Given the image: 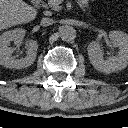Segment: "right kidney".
<instances>
[{"label":"right kidney","instance_id":"ca27d5eb","mask_svg":"<svg viewBox=\"0 0 128 128\" xmlns=\"http://www.w3.org/2000/svg\"><path fill=\"white\" fill-rule=\"evenodd\" d=\"M25 36V30L17 28L4 32L0 36V65L6 68L22 69L33 64L36 58L38 43L35 40H31L28 43L27 55L22 59H14L12 53L15 48L9 47L11 42L19 46Z\"/></svg>","mask_w":128,"mask_h":128}]
</instances>
